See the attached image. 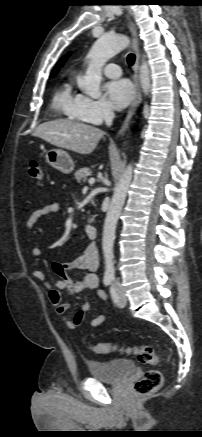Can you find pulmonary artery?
<instances>
[{"label": "pulmonary artery", "instance_id": "e3ab8cb5", "mask_svg": "<svg viewBox=\"0 0 202 437\" xmlns=\"http://www.w3.org/2000/svg\"><path fill=\"white\" fill-rule=\"evenodd\" d=\"M103 72L110 78H117L122 74L120 66L114 63L107 64L104 67Z\"/></svg>", "mask_w": 202, "mask_h": 437}]
</instances>
